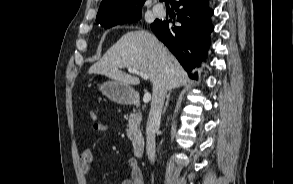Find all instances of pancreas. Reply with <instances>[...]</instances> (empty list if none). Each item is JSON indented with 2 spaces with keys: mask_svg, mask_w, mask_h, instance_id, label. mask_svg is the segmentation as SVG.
<instances>
[{
  "mask_svg": "<svg viewBox=\"0 0 293 184\" xmlns=\"http://www.w3.org/2000/svg\"><path fill=\"white\" fill-rule=\"evenodd\" d=\"M142 116L139 112L130 113L128 125L126 129L127 137L132 140L134 136L140 133V124H141Z\"/></svg>",
  "mask_w": 293,
  "mask_h": 184,
  "instance_id": "cf45deb5",
  "label": "pancreas"
}]
</instances>
